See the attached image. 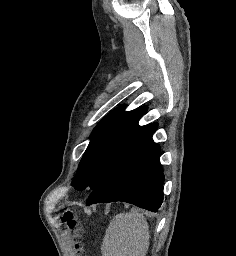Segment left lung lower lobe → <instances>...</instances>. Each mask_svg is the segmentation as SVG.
Returning <instances> with one entry per match:
<instances>
[{
  "mask_svg": "<svg viewBox=\"0 0 236 256\" xmlns=\"http://www.w3.org/2000/svg\"><path fill=\"white\" fill-rule=\"evenodd\" d=\"M157 123L143 126L126 146L109 174L93 189L86 205L124 201L157 211L163 202L164 173L160 147L152 140Z\"/></svg>",
  "mask_w": 236,
  "mask_h": 256,
  "instance_id": "1",
  "label": "left lung lower lobe"
}]
</instances>
